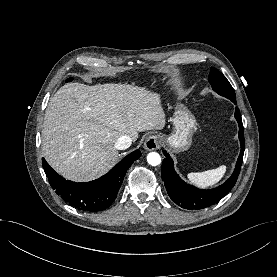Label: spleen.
<instances>
[{
	"label": "spleen",
	"mask_w": 277,
	"mask_h": 277,
	"mask_svg": "<svg viewBox=\"0 0 277 277\" xmlns=\"http://www.w3.org/2000/svg\"><path fill=\"white\" fill-rule=\"evenodd\" d=\"M226 172V166L222 165L216 169L204 172H192L187 175L188 180L201 188H208L218 183Z\"/></svg>",
	"instance_id": "1"
}]
</instances>
